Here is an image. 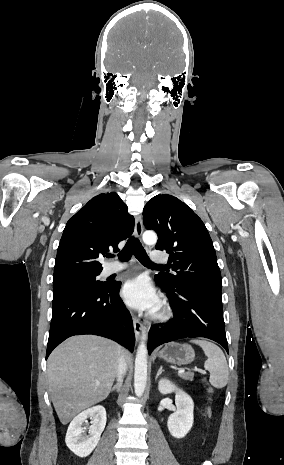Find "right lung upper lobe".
Here are the masks:
<instances>
[{"mask_svg":"<svg viewBox=\"0 0 284 465\" xmlns=\"http://www.w3.org/2000/svg\"><path fill=\"white\" fill-rule=\"evenodd\" d=\"M134 230V217L115 193L93 197L69 219L63 231L54 266L53 280L83 274H98L102 265L97 258Z\"/></svg>","mask_w":284,"mask_h":465,"instance_id":"cb5924a9","label":"right lung upper lobe"}]
</instances>
